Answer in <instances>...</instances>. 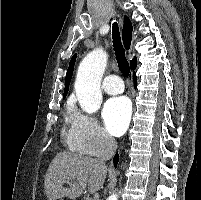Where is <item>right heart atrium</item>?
I'll list each match as a JSON object with an SVG mask.
<instances>
[{
  "instance_id": "obj_1",
  "label": "right heart atrium",
  "mask_w": 201,
  "mask_h": 200,
  "mask_svg": "<svg viewBox=\"0 0 201 200\" xmlns=\"http://www.w3.org/2000/svg\"><path fill=\"white\" fill-rule=\"evenodd\" d=\"M70 139L81 153L97 156L111 151L115 142L91 115L78 110L71 113Z\"/></svg>"
}]
</instances>
